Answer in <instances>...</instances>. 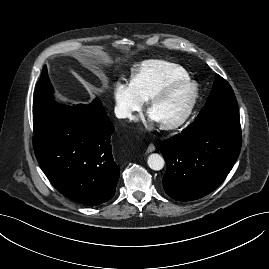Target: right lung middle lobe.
I'll use <instances>...</instances> for the list:
<instances>
[{
	"instance_id": "1",
	"label": "right lung middle lobe",
	"mask_w": 269,
	"mask_h": 269,
	"mask_svg": "<svg viewBox=\"0 0 269 269\" xmlns=\"http://www.w3.org/2000/svg\"><path fill=\"white\" fill-rule=\"evenodd\" d=\"M80 105V104H79ZM89 106L103 110L102 103L96 98ZM77 107L72 109L63 107L56 103L52 98V86L50 84L48 73L42 71V75L35 89L33 103V126L34 134L43 131L54 122L64 118L69 113L74 112Z\"/></svg>"
}]
</instances>
